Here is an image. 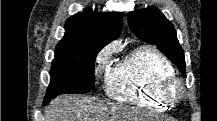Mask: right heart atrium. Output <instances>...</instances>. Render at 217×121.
Instances as JSON below:
<instances>
[{
  "instance_id": "obj_1",
  "label": "right heart atrium",
  "mask_w": 217,
  "mask_h": 121,
  "mask_svg": "<svg viewBox=\"0 0 217 121\" xmlns=\"http://www.w3.org/2000/svg\"><path fill=\"white\" fill-rule=\"evenodd\" d=\"M110 50H105L104 52H102L99 57H98V71L101 70L104 66V64L106 63L107 59H108V54H109Z\"/></svg>"
}]
</instances>
